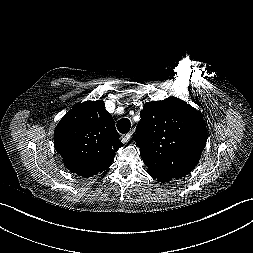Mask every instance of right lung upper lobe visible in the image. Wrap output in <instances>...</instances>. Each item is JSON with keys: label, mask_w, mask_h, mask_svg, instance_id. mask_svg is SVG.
Listing matches in <instances>:
<instances>
[{"label": "right lung upper lobe", "mask_w": 253, "mask_h": 253, "mask_svg": "<svg viewBox=\"0 0 253 253\" xmlns=\"http://www.w3.org/2000/svg\"><path fill=\"white\" fill-rule=\"evenodd\" d=\"M54 137L55 149L66 168L82 177L106 170L123 146L103 100L87 101L71 109L57 124Z\"/></svg>", "instance_id": "cb5924a9"}]
</instances>
